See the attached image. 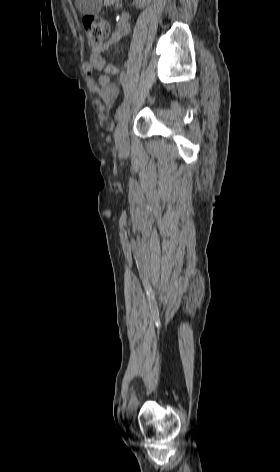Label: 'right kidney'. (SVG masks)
Returning <instances> with one entry per match:
<instances>
[{"mask_svg": "<svg viewBox=\"0 0 280 472\" xmlns=\"http://www.w3.org/2000/svg\"><path fill=\"white\" fill-rule=\"evenodd\" d=\"M135 5L137 8H142L146 5V0H135Z\"/></svg>", "mask_w": 280, "mask_h": 472, "instance_id": "1", "label": "right kidney"}]
</instances>
